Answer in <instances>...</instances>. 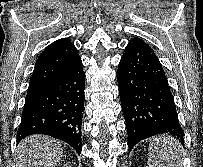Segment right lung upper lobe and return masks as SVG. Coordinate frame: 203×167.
I'll return each instance as SVG.
<instances>
[{"label":"right lung upper lobe","instance_id":"obj_1","mask_svg":"<svg viewBox=\"0 0 203 167\" xmlns=\"http://www.w3.org/2000/svg\"><path fill=\"white\" fill-rule=\"evenodd\" d=\"M79 57L69 39L56 40L38 57L28 91L36 90L66 71Z\"/></svg>","mask_w":203,"mask_h":167}]
</instances>
